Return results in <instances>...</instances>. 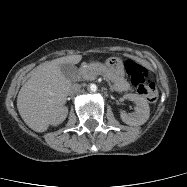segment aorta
Instances as JSON below:
<instances>
[{
	"label": "aorta",
	"mask_w": 187,
	"mask_h": 187,
	"mask_svg": "<svg viewBox=\"0 0 187 187\" xmlns=\"http://www.w3.org/2000/svg\"><path fill=\"white\" fill-rule=\"evenodd\" d=\"M90 90H91L92 92H96L97 86H96L95 84H91V85H90Z\"/></svg>",
	"instance_id": "762f6f07"
}]
</instances>
